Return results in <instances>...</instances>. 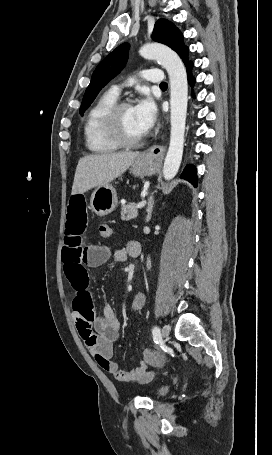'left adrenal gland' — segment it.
I'll list each match as a JSON object with an SVG mask.
<instances>
[{
	"label": "left adrenal gland",
	"instance_id": "obj_1",
	"mask_svg": "<svg viewBox=\"0 0 272 455\" xmlns=\"http://www.w3.org/2000/svg\"><path fill=\"white\" fill-rule=\"evenodd\" d=\"M153 204H154L153 197H150L148 200L147 210H146L147 211L146 222H149L151 220Z\"/></svg>",
	"mask_w": 272,
	"mask_h": 455
}]
</instances>
